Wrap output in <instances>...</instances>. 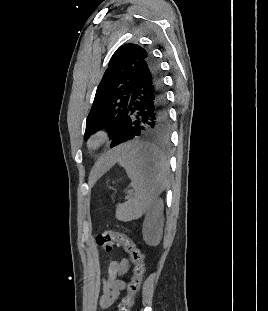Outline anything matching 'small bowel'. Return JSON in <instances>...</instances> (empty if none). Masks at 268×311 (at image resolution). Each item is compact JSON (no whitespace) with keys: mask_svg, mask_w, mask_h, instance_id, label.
Wrapping results in <instances>:
<instances>
[{"mask_svg":"<svg viewBox=\"0 0 268 311\" xmlns=\"http://www.w3.org/2000/svg\"><path fill=\"white\" fill-rule=\"evenodd\" d=\"M129 267V261L125 258L109 263L107 273L102 276V295L99 300L101 308L111 306L120 292L126 288V282L118 277L126 274Z\"/></svg>","mask_w":268,"mask_h":311,"instance_id":"1","label":"small bowel"}]
</instances>
